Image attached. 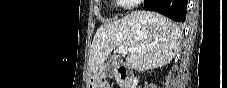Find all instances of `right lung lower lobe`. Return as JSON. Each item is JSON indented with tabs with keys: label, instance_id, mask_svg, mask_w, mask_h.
Instances as JSON below:
<instances>
[{
	"label": "right lung lower lobe",
	"instance_id": "1",
	"mask_svg": "<svg viewBox=\"0 0 227 88\" xmlns=\"http://www.w3.org/2000/svg\"><path fill=\"white\" fill-rule=\"evenodd\" d=\"M149 11L159 12L176 22H184L187 13V0H145Z\"/></svg>",
	"mask_w": 227,
	"mask_h": 88
}]
</instances>
